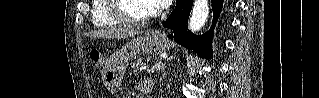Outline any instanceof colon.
Instances as JSON below:
<instances>
[{"label":"colon","mask_w":319,"mask_h":98,"mask_svg":"<svg viewBox=\"0 0 319 98\" xmlns=\"http://www.w3.org/2000/svg\"><path fill=\"white\" fill-rule=\"evenodd\" d=\"M90 59L92 60L93 63L96 65L100 66L103 62L102 60V55L99 50L97 49H91L89 53Z\"/></svg>","instance_id":"obj_1"}]
</instances>
